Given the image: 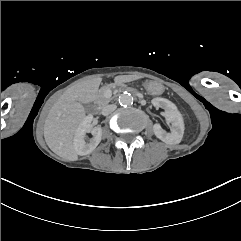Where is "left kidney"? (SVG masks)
<instances>
[{"instance_id":"left-kidney-1","label":"left kidney","mask_w":241,"mask_h":241,"mask_svg":"<svg viewBox=\"0 0 241 241\" xmlns=\"http://www.w3.org/2000/svg\"><path fill=\"white\" fill-rule=\"evenodd\" d=\"M152 104L156 108H162L164 119L170 124L171 132L166 133L159 124L153 126L154 135L169 145H178L183 137L184 126L180 114L170 101L163 98H154Z\"/></svg>"}]
</instances>
